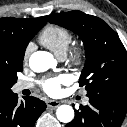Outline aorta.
<instances>
[{
    "label": "aorta",
    "mask_w": 127,
    "mask_h": 127,
    "mask_svg": "<svg viewBox=\"0 0 127 127\" xmlns=\"http://www.w3.org/2000/svg\"><path fill=\"white\" fill-rule=\"evenodd\" d=\"M55 65L53 55L46 51L34 52L29 58V66L34 72H45ZM56 116L60 122L69 123L74 118V110L70 105H61L56 110Z\"/></svg>",
    "instance_id": "1"
}]
</instances>
